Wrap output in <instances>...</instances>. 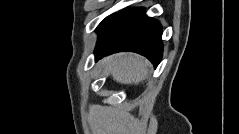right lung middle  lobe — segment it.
Instances as JSON below:
<instances>
[{"label":"right lung middle lobe","mask_w":239,"mask_h":134,"mask_svg":"<svg viewBox=\"0 0 239 134\" xmlns=\"http://www.w3.org/2000/svg\"><path fill=\"white\" fill-rule=\"evenodd\" d=\"M112 15H113V14H112ZM112 15L106 17V18L99 24V26L97 27V31L108 21V19H109Z\"/></svg>","instance_id":"1"}]
</instances>
